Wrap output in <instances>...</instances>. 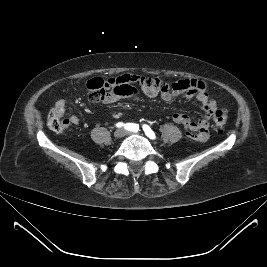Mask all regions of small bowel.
<instances>
[{"label":"small bowel","mask_w":267,"mask_h":267,"mask_svg":"<svg viewBox=\"0 0 267 267\" xmlns=\"http://www.w3.org/2000/svg\"><path fill=\"white\" fill-rule=\"evenodd\" d=\"M136 77L130 75H122L117 78H92L87 81L86 87L90 91V99L93 102H102L105 104L115 103L124 97L133 96L137 97L138 92L128 94L123 89L124 80L127 78ZM176 83H179V88H165L158 92H144L148 96H155L160 94L161 98L165 101H171L179 95H183L186 99L195 98L205 115L197 121H194L191 117L177 113L173 116V120L176 124L182 125L186 130L188 138L205 142L209 137V120L217 108L216 102L210 98L206 90V84L203 81L196 79H184ZM67 102L65 99H60L56 102L53 109L54 114L58 118H62L66 113ZM63 124L65 128L71 125H78L79 118L72 115L67 118H63Z\"/></svg>","instance_id":"c3829d8e"}]
</instances>
